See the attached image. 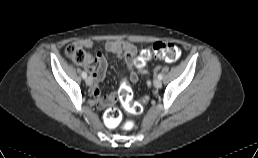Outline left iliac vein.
<instances>
[{
  "mask_svg": "<svg viewBox=\"0 0 258 158\" xmlns=\"http://www.w3.org/2000/svg\"><path fill=\"white\" fill-rule=\"evenodd\" d=\"M161 86H162L161 80L156 79V80L154 81V87L158 89V88H160Z\"/></svg>",
  "mask_w": 258,
  "mask_h": 158,
  "instance_id": "1",
  "label": "left iliac vein"
}]
</instances>
